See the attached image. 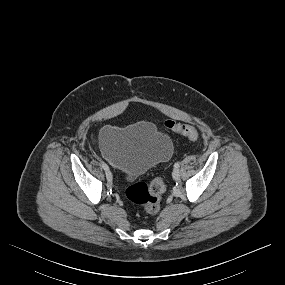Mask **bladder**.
<instances>
[{"label": "bladder", "instance_id": "obj_1", "mask_svg": "<svg viewBox=\"0 0 285 285\" xmlns=\"http://www.w3.org/2000/svg\"><path fill=\"white\" fill-rule=\"evenodd\" d=\"M99 141L104 158L127 181L168 160L173 152L170 137L148 121L127 127L105 126Z\"/></svg>", "mask_w": 285, "mask_h": 285}]
</instances>
